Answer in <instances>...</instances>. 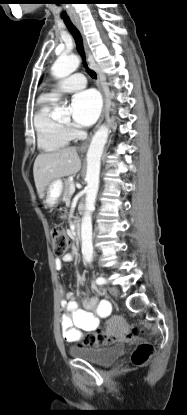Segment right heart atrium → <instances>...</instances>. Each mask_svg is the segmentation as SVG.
Wrapping results in <instances>:
<instances>
[{
    "label": "right heart atrium",
    "instance_id": "d8ad5b80",
    "mask_svg": "<svg viewBox=\"0 0 187 415\" xmlns=\"http://www.w3.org/2000/svg\"><path fill=\"white\" fill-rule=\"evenodd\" d=\"M68 131L71 133V135L75 134V130L72 127H67Z\"/></svg>",
    "mask_w": 187,
    "mask_h": 415
}]
</instances>
